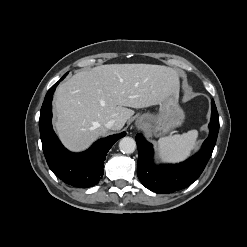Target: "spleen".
I'll return each mask as SVG.
<instances>
[{
	"instance_id": "obj_1",
	"label": "spleen",
	"mask_w": 247,
	"mask_h": 247,
	"mask_svg": "<svg viewBox=\"0 0 247 247\" xmlns=\"http://www.w3.org/2000/svg\"><path fill=\"white\" fill-rule=\"evenodd\" d=\"M198 137L197 130L187 133L169 135L158 140L159 157L164 162H181L188 158L195 148Z\"/></svg>"
}]
</instances>
